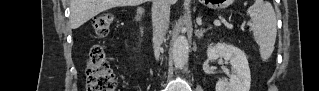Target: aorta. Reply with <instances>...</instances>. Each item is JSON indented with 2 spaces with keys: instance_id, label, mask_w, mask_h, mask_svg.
I'll return each instance as SVG.
<instances>
[{
  "instance_id": "aorta-1",
  "label": "aorta",
  "mask_w": 319,
  "mask_h": 91,
  "mask_svg": "<svg viewBox=\"0 0 319 91\" xmlns=\"http://www.w3.org/2000/svg\"><path fill=\"white\" fill-rule=\"evenodd\" d=\"M189 44L184 35L178 36L173 43L172 58L177 68H182L188 60Z\"/></svg>"
}]
</instances>
